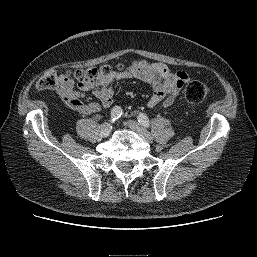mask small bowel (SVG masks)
<instances>
[{
  "mask_svg": "<svg viewBox=\"0 0 257 257\" xmlns=\"http://www.w3.org/2000/svg\"><path fill=\"white\" fill-rule=\"evenodd\" d=\"M125 79H138L148 84L153 91L148 106L161 104L165 108L174 103L183 86L190 80L185 71H172L162 63L135 60L121 70L112 71L94 84L79 83L77 88L71 78L60 75L57 93L70 109L92 115L102 107L108 108L113 104L114 85ZM88 94H92L98 102L84 103L82 99Z\"/></svg>",
  "mask_w": 257,
  "mask_h": 257,
  "instance_id": "obj_1",
  "label": "small bowel"
}]
</instances>
